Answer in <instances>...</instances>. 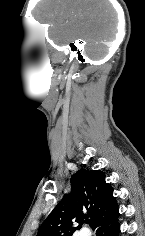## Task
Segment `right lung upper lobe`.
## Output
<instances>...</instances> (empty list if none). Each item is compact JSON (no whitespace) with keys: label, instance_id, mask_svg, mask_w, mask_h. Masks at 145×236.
I'll return each instance as SVG.
<instances>
[{"label":"right lung upper lobe","instance_id":"1","mask_svg":"<svg viewBox=\"0 0 145 236\" xmlns=\"http://www.w3.org/2000/svg\"><path fill=\"white\" fill-rule=\"evenodd\" d=\"M118 208L113 188L100 170H78L71 177V193L65 194L41 225L37 236H72L90 217L92 229ZM79 223V227H74Z\"/></svg>","mask_w":145,"mask_h":236}]
</instances>
